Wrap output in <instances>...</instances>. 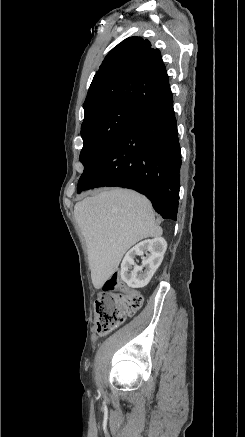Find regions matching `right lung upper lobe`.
Masks as SVG:
<instances>
[{"label":"right lung upper lobe","instance_id":"cb5924a9","mask_svg":"<svg viewBox=\"0 0 245 437\" xmlns=\"http://www.w3.org/2000/svg\"><path fill=\"white\" fill-rule=\"evenodd\" d=\"M172 94L166 67L158 49L142 37H130L115 46L96 72L84 102L85 115L114 102L141 106Z\"/></svg>","mask_w":245,"mask_h":437}]
</instances>
